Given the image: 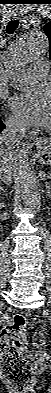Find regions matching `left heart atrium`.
I'll use <instances>...</instances> for the list:
<instances>
[{
    "label": "left heart atrium",
    "instance_id": "39dd6f15",
    "mask_svg": "<svg viewBox=\"0 0 51 393\" xmlns=\"http://www.w3.org/2000/svg\"><path fill=\"white\" fill-rule=\"evenodd\" d=\"M15 114L24 123L47 127L51 123V100L47 91L38 89L12 99Z\"/></svg>",
    "mask_w": 51,
    "mask_h": 393
}]
</instances>
